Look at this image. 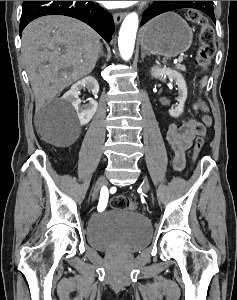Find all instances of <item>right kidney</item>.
<instances>
[{
  "instance_id": "1",
  "label": "right kidney",
  "mask_w": 237,
  "mask_h": 300,
  "mask_svg": "<svg viewBox=\"0 0 237 300\" xmlns=\"http://www.w3.org/2000/svg\"><path fill=\"white\" fill-rule=\"evenodd\" d=\"M82 89L92 91V95H97V93H99V85L96 79H94V77H85V79H81V81H77L75 85H72L70 91L65 93L64 99H67L72 107H74L80 125H87L92 117H94L98 103L97 101H94V99H90L89 103L81 105L82 101L79 99V95H81L80 91H82Z\"/></svg>"
}]
</instances>
